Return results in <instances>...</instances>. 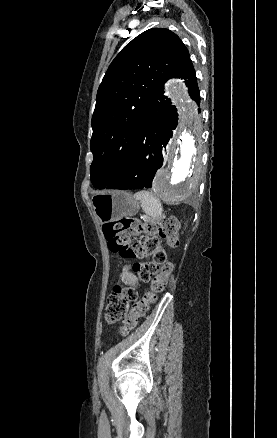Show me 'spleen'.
<instances>
[{
  "mask_svg": "<svg viewBox=\"0 0 277 438\" xmlns=\"http://www.w3.org/2000/svg\"><path fill=\"white\" fill-rule=\"evenodd\" d=\"M134 198L135 200H140L142 210H144L147 216H152V218L161 216L163 212L162 204L152 192H137V194H134Z\"/></svg>",
  "mask_w": 277,
  "mask_h": 438,
  "instance_id": "3e777b00",
  "label": "spleen"
}]
</instances>
